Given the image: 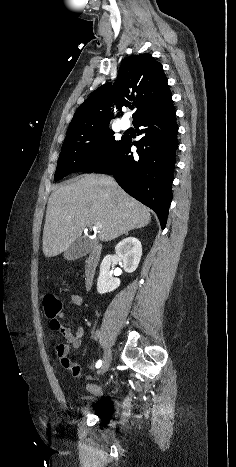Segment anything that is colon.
<instances>
[{
	"label": "colon",
	"mask_w": 236,
	"mask_h": 467,
	"mask_svg": "<svg viewBox=\"0 0 236 467\" xmlns=\"http://www.w3.org/2000/svg\"><path fill=\"white\" fill-rule=\"evenodd\" d=\"M42 304L44 307L45 314L48 317H55L57 314L61 312L62 302L54 294H51V293L44 294L42 296Z\"/></svg>",
	"instance_id": "obj_1"
}]
</instances>
